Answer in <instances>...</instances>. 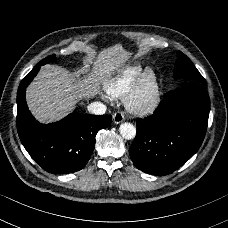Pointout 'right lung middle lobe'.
<instances>
[{
  "instance_id": "right-lung-middle-lobe-1",
  "label": "right lung middle lobe",
  "mask_w": 228,
  "mask_h": 228,
  "mask_svg": "<svg viewBox=\"0 0 228 228\" xmlns=\"http://www.w3.org/2000/svg\"><path fill=\"white\" fill-rule=\"evenodd\" d=\"M56 59L55 55H51L46 57L45 59H43L42 61H40L37 66H42L44 64L50 63V62H54Z\"/></svg>"
}]
</instances>
